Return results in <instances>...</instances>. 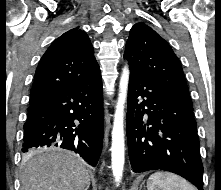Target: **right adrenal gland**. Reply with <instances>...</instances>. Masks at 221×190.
I'll list each match as a JSON object with an SVG mask.
<instances>
[{"mask_svg": "<svg viewBox=\"0 0 221 190\" xmlns=\"http://www.w3.org/2000/svg\"><path fill=\"white\" fill-rule=\"evenodd\" d=\"M90 187V183L87 185V187L84 190H88Z\"/></svg>", "mask_w": 221, "mask_h": 190, "instance_id": "2a0ac1e0", "label": "right adrenal gland"}]
</instances>
